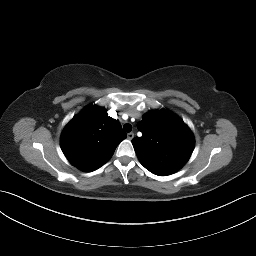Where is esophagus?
Here are the masks:
<instances>
[{
  "label": "esophagus",
  "instance_id": "34e87169",
  "mask_svg": "<svg viewBox=\"0 0 256 256\" xmlns=\"http://www.w3.org/2000/svg\"><path fill=\"white\" fill-rule=\"evenodd\" d=\"M127 138H128L129 140H132V139L134 138V133H133V132L128 133V134H127Z\"/></svg>",
  "mask_w": 256,
  "mask_h": 256
}]
</instances>
